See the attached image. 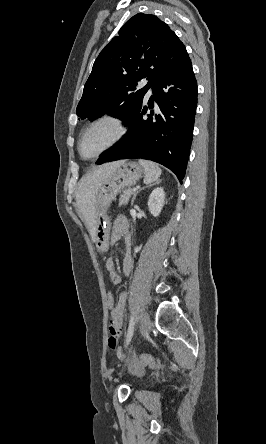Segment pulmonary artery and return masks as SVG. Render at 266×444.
Instances as JSON below:
<instances>
[{
	"label": "pulmonary artery",
	"instance_id": "e3ab8cb5",
	"mask_svg": "<svg viewBox=\"0 0 266 444\" xmlns=\"http://www.w3.org/2000/svg\"><path fill=\"white\" fill-rule=\"evenodd\" d=\"M147 84V80H144L143 82H142V86H144V85H146ZM152 96V89L150 88V89H148V91H147V94H146V97L147 98H149V97H151Z\"/></svg>",
	"mask_w": 266,
	"mask_h": 444
}]
</instances>
